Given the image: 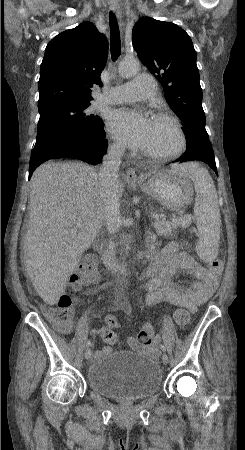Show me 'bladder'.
Masks as SVG:
<instances>
[{
    "label": "bladder",
    "mask_w": 245,
    "mask_h": 450,
    "mask_svg": "<svg viewBox=\"0 0 245 450\" xmlns=\"http://www.w3.org/2000/svg\"><path fill=\"white\" fill-rule=\"evenodd\" d=\"M162 382L158 363L148 355L123 350L92 360L86 378L89 389L123 402L152 396Z\"/></svg>",
    "instance_id": "obj_1"
}]
</instances>
